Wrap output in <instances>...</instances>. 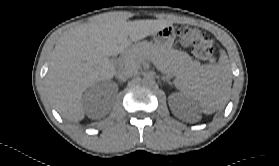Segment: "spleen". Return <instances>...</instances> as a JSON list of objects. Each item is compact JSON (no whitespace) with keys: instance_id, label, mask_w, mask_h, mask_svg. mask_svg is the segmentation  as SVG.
<instances>
[{"instance_id":"spleen-1","label":"spleen","mask_w":279,"mask_h":166,"mask_svg":"<svg viewBox=\"0 0 279 166\" xmlns=\"http://www.w3.org/2000/svg\"><path fill=\"white\" fill-rule=\"evenodd\" d=\"M232 84L228 58L222 54L216 65H203L182 74L174 85L185 96L198 102L202 111L212 113L226 103Z\"/></svg>"}]
</instances>
